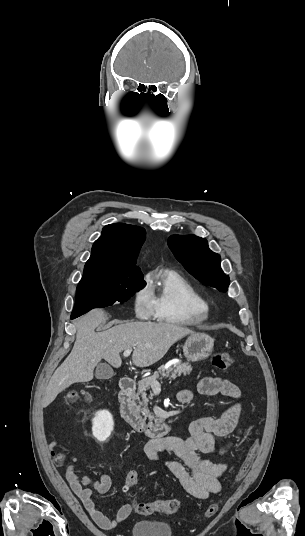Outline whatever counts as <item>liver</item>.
Listing matches in <instances>:
<instances>
[{
	"label": "liver",
	"instance_id": "1",
	"mask_svg": "<svg viewBox=\"0 0 305 536\" xmlns=\"http://www.w3.org/2000/svg\"><path fill=\"white\" fill-rule=\"evenodd\" d=\"M103 310H91L74 322L77 328L76 342L71 354L54 372L42 400L47 408L56 396L76 382H91L94 368L101 360H106L113 368H120V352L134 348L132 362L138 368L152 366L159 362L169 348L187 336L194 334L188 328L176 324H155V322H129L123 324L113 320V326L106 332H95L106 322Z\"/></svg>",
	"mask_w": 305,
	"mask_h": 536
}]
</instances>
